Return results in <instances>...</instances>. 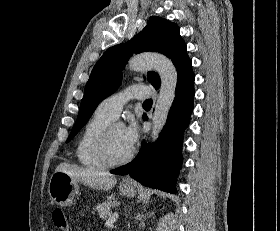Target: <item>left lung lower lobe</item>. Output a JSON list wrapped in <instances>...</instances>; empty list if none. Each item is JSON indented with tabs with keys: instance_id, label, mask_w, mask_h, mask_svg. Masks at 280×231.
<instances>
[{
	"instance_id": "1",
	"label": "left lung lower lobe",
	"mask_w": 280,
	"mask_h": 231,
	"mask_svg": "<svg viewBox=\"0 0 280 231\" xmlns=\"http://www.w3.org/2000/svg\"><path fill=\"white\" fill-rule=\"evenodd\" d=\"M194 80L192 65H189L177 79L175 99L157 142L152 145L143 142L136 158L112 170V174H129L144 186L176 193L175 182L182 164L183 132L193 110ZM143 119L146 120L144 116Z\"/></svg>"
}]
</instances>
